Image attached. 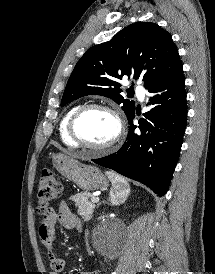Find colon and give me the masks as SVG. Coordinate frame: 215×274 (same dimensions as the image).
<instances>
[{
    "label": "colon",
    "mask_w": 215,
    "mask_h": 274,
    "mask_svg": "<svg viewBox=\"0 0 215 274\" xmlns=\"http://www.w3.org/2000/svg\"><path fill=\"white\" fill-rule=\"evenodd\" d=\"M61 191V184L50 169H43L38 185V211L45 216L50 203Z\"/></svg>",
    "instance_id": "1"
}]
</instances>
